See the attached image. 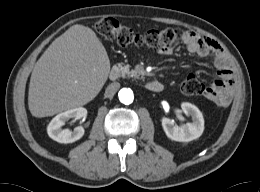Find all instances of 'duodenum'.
Segmentation results:
<instances>
[{"mask_svg": "<svg viewBox=\"0 0 260 192\" xmlns=\"http://www.w3.org/2000/svg\"><path fill=\"white\" fill-rule=\"evenodd\" d=\"M109 78L114 81L118 78V71L116 69H112L109 73ZM146 89L151 92H160L163 90V85L161 82L157 80L150 81L146 84Z\"/></svg>", "mask_w": 260, "mask_h": 192, "instance_id": "obj_1", "label": "duodenum"}]
</instances>
